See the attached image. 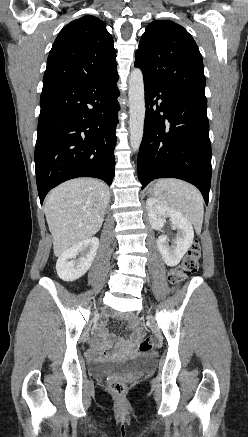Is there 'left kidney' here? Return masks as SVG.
<instances>
[{"instance_id": "left-kidney-1", "label": "left kidney", "mask_w": 248, "mask_h": 437, "mask_svg": "<svg viewBox=\"0 0 248 437\" xmlns=\"http://www.w3.org/2000/svg\"><path fill=\"white\" fill-rule=\"evenodd\" d=\"M146 208L153 229L161 230L166 222V217L169 216L173 227L178 230L177 237L171 245H169L166 235H161L157 239V246L165 264L170 267L176 266L193 242L194 230L191 223L181 213L171 209L156 198H148Z\"/></svg>"}]
</instances>
